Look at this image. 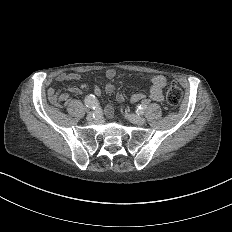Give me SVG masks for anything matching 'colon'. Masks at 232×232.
Masks as SVG:
<instances>
[{
    "mask_svg": "<svg viewBox=\"0 0 232 232\" xmlns=\"http://www.w3.org/2000/svg\"><path fill=\"white\" fill-rule=\"evenodd\" d=\"M165 99H168L169 107H179L181 103L182 91L180 86L175 82L168 81V87L166 89ZM69 97L68 93L55 92L51 96V103L55 107H62L66 103V98Z\"/></svg>",
    "mask_w": 232,
    "mask_h": 232,
    "instance_id": "colon-1",
    "label": "colon"
}]
</instances>
